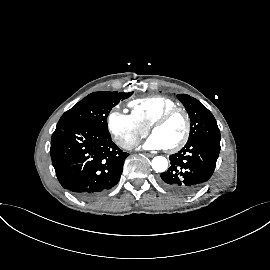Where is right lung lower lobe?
<instances>
[{"instance_id":"right-lung-lower-lobe-1","label":"right lung lower lobe","mask_w":270,"mask_h":270,"mask_svg":"<svg viewBox=\"0 0 270 270\" xmlns=\"http://www.w3.org/2000/svg\"><path fill=\"white\" fill-rule=\"evenodd\" d=\"M50 155L62 187L91 199L118 183L129 154L112 142L109 133L90 125L66 124L56 127Z\"/></svg>"}]
</instances>
